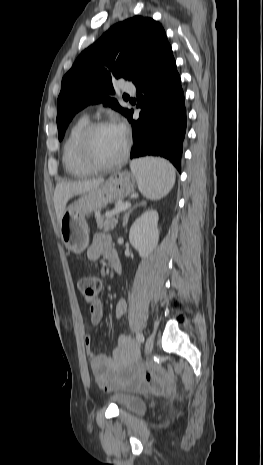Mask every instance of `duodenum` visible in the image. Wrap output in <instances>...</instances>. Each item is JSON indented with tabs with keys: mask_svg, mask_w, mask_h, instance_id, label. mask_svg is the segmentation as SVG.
<instances>
[{
	"mask_svg": "<svg viewBox=\"0 0 263 465\" xmlns=\"http://www.w3.org/2000/svg\"><path fill=\"white\" fill-rule=\"evenodd\" d=\"M109 261H110V264H111L112 268L115 270V272L120 273L121 272V263H120V259H119L116 252L111 253V255L109 257Z\"/></svg>",
	"mask_w": 263,
	"mask_h": 465,
	"instance_id": "1",
	"label": "duodenum"
}]
</instances>
